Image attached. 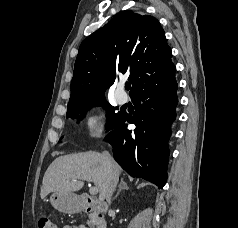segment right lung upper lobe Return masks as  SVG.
<instances>
[{"instance_id":"obj_1","label":"right lung upper lobe","mask_w":238,"mask_h":228,"mask_svg":"<svg viewBox=\"0 0 238 228\" xmlns=\"http://www.w3.org/2000/svg\"><path fill=\"white\" fill-rule=\"evenodd\" d=\"M172 51L152 16L130 10L116 15L80 45L68 105L106 101L104 92L121 74H130V96L175 74Z\"/></svg>"}]
</instances>
